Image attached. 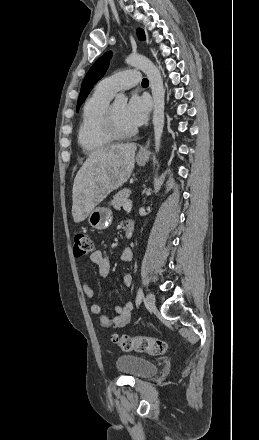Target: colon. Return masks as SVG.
<instances>
[{
    "label": "colon",
    "mask_w": 259,
    "mask_h": 440,
    "mask_svg": "<svg viewBox=\"0 0 259 440\" xmlns=\"http://www.w3.org/2000/svg\"><path fill=\"white\" fill-rule=\"evenodd\" d=\"M94 250V244L90 236L78 233L74 238V254L77 257L89 255ZM113 342L124 351L136 350L147 352L151 355H164L167 353L168 344L157 338L146 336L130 337L127 335H114Z\"/></svg>",
    "instance_id": "obj_1"
}]
</instances>
